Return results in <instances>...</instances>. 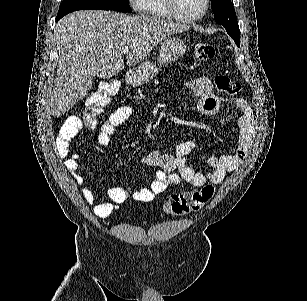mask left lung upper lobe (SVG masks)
I'll use <instances>...</instances> for the list:
<instances>
[{
  "instance_id": "left-lung-upper-lobe-1",
  "label": "left lung upper lobe",
  "mask_w": 307,
  "mask_h": 301,
  "mask_svg": "<svg viewBox=\"0 0 307 301\" xmlns=\"http://www.w3.org/2000/svg\"><path fill=\"white\" fill-rule=\"evenodd\" d=\"M211 2L216 22L223 25L235 43L240 45V30L231 0H211Z\"/></svg>"
}]
</instances>
